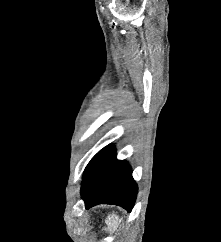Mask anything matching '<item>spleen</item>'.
I'll return each instance as SVG.
<instances>
[{
	"mask_svg": "<svg viewBox=\"0 0 221 242\" xmlns=\"http://www.w3.org/2000/svg\"><path fill=\"white\" fill-rule=\"evenodd\" d=\"M111 232L115 231L118 227V220L116 215H109L105 220Z\"/></svg>",
	"mask_w": 221,
	"mask_h": 242,
	"instance_id": "obj_1",
	"label": "spleen"
}]
</instances>
